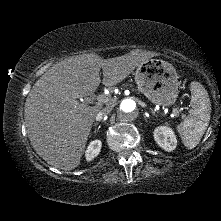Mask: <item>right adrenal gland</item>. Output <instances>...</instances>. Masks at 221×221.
<instances>
[{"label":"right adrenal gland","mask_w":221,"mask_h":221,"mask_svg":"<svg viewBox=\"0 0 221 221\" xmlns=\"http://www.w3.org/2000/svg\"><path fill=\"white\" fill-rule=\"evenodd\" d=\"M98 125V123H94V126Z\"/></svg>","instance_id":"1"}]
</instances>
